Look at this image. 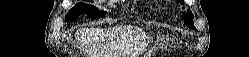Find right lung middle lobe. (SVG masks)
Segmentation results:
<instances>
[{"instance_id":"1","label":"right lung middle lobe","mask_w":249,"mask_h":57,"mask_svg":"<svg viewBox=\"0 0 249 57\" xmlns=\"http://www.w3.org/2000/svg\"><path fill=\"white\" fill-rule=\"evenodd\" d=\"M80 14H87L91 18H101L106 14L105 11L100 12L96 7L87 4H76L66 16L67 21L75 20Z\"/></svg>"}]
</instances>
